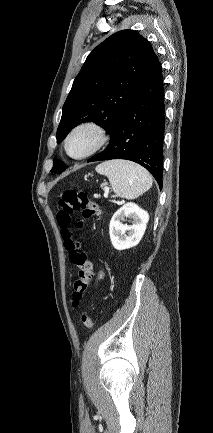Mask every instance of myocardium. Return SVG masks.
<instances>
[{
  "label": "myocardium",
  "mask_w": 213,
  "mask_h": 433,
  "mask_svg": "<svg viewBox=\"0 0 213 433\" xmlns=\"http://www.w3.org/2000/svg\"><path fill=\"white\" fill-rule=\"evenodd\" d=\"M84 130L93 132L96 136V141L94 145L91 147V149L88 150L86 153L80 156H73L69 151V141L76 133ZM107 140H108V136L106 134V131L100 124L94 121H84L77 124L69 131V133L65 138L64 148L69 157L76 160H82L98 152L106 144Z\"/></svg>",
  "instance_id": "obj_1"
}]
</instances>
